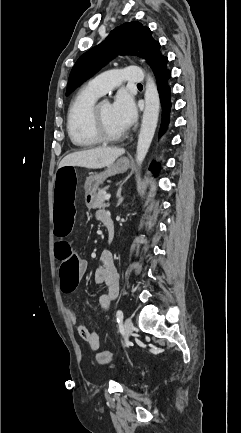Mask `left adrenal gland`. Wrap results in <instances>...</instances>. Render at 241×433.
Returning <instances> with one entry per match:
<instances>
[{
  "instance_id": "obj_1",
  "label": "left adrenal gland",
  "mask_w": 241,
  "mask_h": 433,
  "mask_svg": "<svg viewBox=\"0 0 241 433\" xmlns=\"http://www.w3.org/2000/svg\"><path fill=\"white\" fill-rule=\"evenodd\" d=\"M117 198H118V202H117V207H118L124 200V198L121 196V188L117 192Z\"/></svg>"
}]
</instances>
